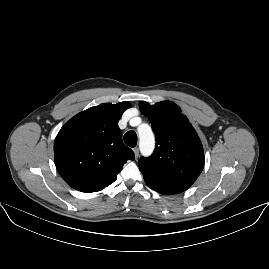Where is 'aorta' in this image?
Segmentation results:
<instances>
[{
    "instance_id": "762f6f07",
    "label": "aorta",
    "mask_w": 269,
    "mask_h": 269,
    "mask_svg": "<svg viewBox=\"0 0 269 269\" xmlns=\"http://www.w3.org/2000/svg\"><path fill=\"white\" fill-rule=\"evenodd\" d=\"M139 148L143 155H150L154 149L155 138L151 130V127L147 124H143L139 127Z\"/></svg>"
}]
</instances>
